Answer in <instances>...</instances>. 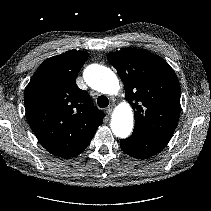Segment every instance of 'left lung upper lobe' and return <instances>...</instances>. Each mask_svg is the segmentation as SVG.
Instances as JSON below:
<instances>
[{"mask_svg": "<svg viewBox=\"0 0 211 211\" xmlns=\"http://www.w3.org/2000/svg\"><path fill=\"white\" fill-rule=\"evenodd\" d=\"M133 107V132L172 136L180 115V85L174 70L160 57L140 49L109 53Z\"/></svg>", "mask_w": 211, "mask_h": 211, "instance_id": "left-lung-upper-lobe-1", "label": "left lung upper lobe"}]
</instances>
